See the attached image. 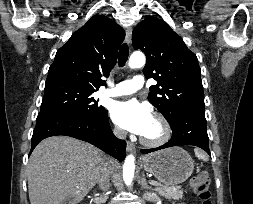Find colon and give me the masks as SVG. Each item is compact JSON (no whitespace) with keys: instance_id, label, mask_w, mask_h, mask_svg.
I'll return each instance as SVG.
<instances>
[{"instance_id":"colon-1","label":"colon","mask_w":253,"mask_h":204,"mask_svg":"<svg viewBox=\"0 0 253 204\" xmlns=\"http://www.w3.org/2000/svg\"><path fill=\"white\" fill-rule=\"evenodd\" d=\"M209 186L210 177L206 172L198 174L192 180L193 191L199 197L201 204H213Z\"/></svg>"}]
</instances>
